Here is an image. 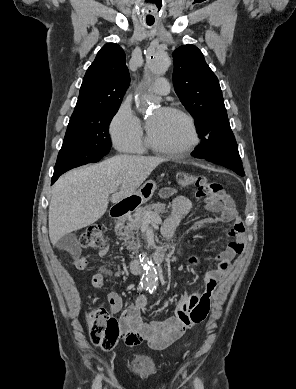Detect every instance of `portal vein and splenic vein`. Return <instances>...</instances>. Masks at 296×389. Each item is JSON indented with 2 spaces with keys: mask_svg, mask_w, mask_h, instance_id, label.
Masks as SVG:
<instances>
[{
  "mask_svg": "<svg viewBox=\"0 0 296 389\" xmlns=\"http://www.w3.org/2000/svg\"><path fill=\"white\" fill-rule=\"evenodd\" d=\"M144 218L148 219V220H152V221L161 222V219L159 218V216H157L153 213H149V212L145 213Z\"/></svg>",
  "mask_w": 296,
  "mask_h": 389,
  "instance_id": "18ae733b",
  "label": "portal vein and splenic vein"
}]
</instances>
